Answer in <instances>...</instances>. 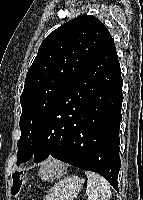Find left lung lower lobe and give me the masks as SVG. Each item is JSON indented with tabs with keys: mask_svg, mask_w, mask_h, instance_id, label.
I'll use <instances>...</instances> for the list:
<instances>
[{
	"mask_svg": "<svg viewBox=\"0 0 143 200\" xmlns=\"http://www.w3.org/2000/svg\"><path fill=\"white\" fill-rule=\"evenodd\" d=\"M123 81L112 39L60 97L39 134L34 163L52 156L97 172L118 190ZM58 122L55 117L60 112Z\"/></svg>",
	"mask_w": 143,
	"mask_h": 200,
	"instance_id": "0a47b994",
	"label": "left lung lower lobe"
}]
</instances>
